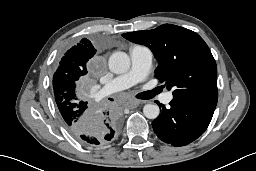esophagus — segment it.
<instances>
[{"mask_svg": "<svg viewBox=\"0 0 256 171\" xmlns=\"http://www.w3.org/2000/svg\"><path fill=\"white\" fill-rule=\"evenodd\" d=\"M142 103H143V101H140V100H131V101L127 102L126 105L129 109H134Z\"/></svg>", "mask_w": 256, "mask_h": 171, "instance_id": "esophagus-1", "label": "esophagus"}]
</instances>
